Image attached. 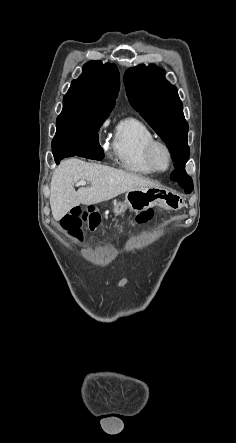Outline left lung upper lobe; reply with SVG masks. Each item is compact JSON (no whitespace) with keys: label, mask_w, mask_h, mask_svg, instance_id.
Here are the masks:
<instances>
[{"label":"left lung upper lobe","mask_w":236,"mask_h":443,"mask_svg":"<svg viewBox=\"0 0 236 443\" xmlns=\"http://www.w3.org/2000/svg\"><path fill=\"white\" fill-rule=\"evenodd\" d=\"M124 84L132 107L168 146L174 167L184 168L190 154L188 123L177 89L165 79V71L154 64L138 65L125 72Z\"/></svg>","instance_id":"obj_1"}]
</instances>
